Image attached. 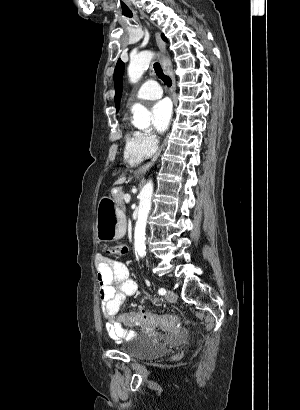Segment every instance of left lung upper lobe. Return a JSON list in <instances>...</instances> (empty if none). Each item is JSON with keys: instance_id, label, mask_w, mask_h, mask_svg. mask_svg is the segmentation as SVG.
Wrapping results in <instances>:
<instances>
[{"instance_id": "1", "label": "left lung upper lobe", "mask_w": 300, "mask_h": 410, "mask_svg": "<svg viewBox=\"0 0 300 410\" xmlns=\"http://www.w3.org/2000/svg\"><path fill=\"white\" fill-rule=\"evenodd\" d=\"M164 41H167L165 36L162 34ZM124 73V63L121 59L118 60L115 70H114V85H115V104L117 111L119 110L120 99L122 95V78Z\"/></svg>"}]
</instances>
